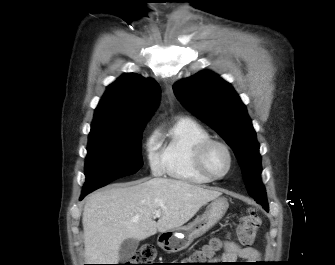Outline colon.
I'll use <instances>...</instances> for the list:
<instances>
[{
  "mask_svg": "<svg viewBox=\"0 0 335 265\" xmlns=\"http://www.w3.org/2000/svg\"><path fill=\"white\" fill-rule=\"evenodd\" d=\"M261 225V219L259 215L253 209H249L246 214H244L238 225H237V238L239 242L243 245H250L257 236ZM223 243L218 238H213L210 242L202 247L200 250L196 251L190 257V260L195 265L207 264L222 247ZM156 258V250L151 245H143L132 257V260L128 264L124 265H153Z\"/></svg>",
  "mask_w": 335,
  "mask_h": 265,
  "instance_id": "5ec220e1",
  "label": "colon"
}]
</instances>
